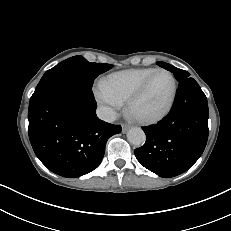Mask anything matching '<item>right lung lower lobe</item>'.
I'll return each mask as SVG.
<instances>
[{"label": "right lung lower lobe", "instance_id": "obj_1", "mask_svg": "<svg viewBox=\"0 0 231 231\" xmlns=\"http://www.w3.org/2000/svg\"><path fill=\"white\" fill-rule=\"evenodd\" d=\"M92 89L59 81L32 96L29 139L39 160L63 177H79L96 169L106 142L120 125L100 120Z\"/></svg>", "mask_w": 231, "mask_h": 231}]
</instances>
